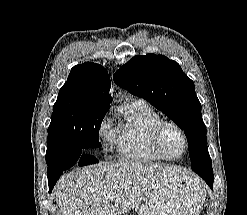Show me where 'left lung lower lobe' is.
<instances>
[{
	"instance_id": "1",
	"label": "left lung lower lobe",
	"mask_w": 247,
	"mask_h": 215,
	"mask_svg": "<svg viewBox=\"0 0 247 215\" xmlns=\"http://www.w3.org/2000/svg\"><path fill=\"white\" fill-rule=\"evenodd\" d=\"M192 170L204 179L210 188L213 189V170L210 156L204 157L198 165L192 167Z\"/></svg>"
}]
</instances>
